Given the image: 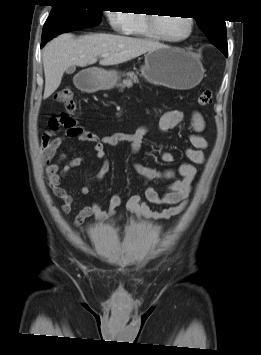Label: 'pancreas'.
<instances>
[{"label": "pancreas", "instance_id": "obj_1", "mask_svg": "<svg viewBox=\"0 0 261 355\" xmlns=\"http://www.w3.org/2000/svg\"><path fill=\"white\" fill-rule=\"evenodd\" d=\"M124 76H126V79H124L123 82L119 84L121 91L125 87H131L133 83H138V77L134 72H128Z\"/></svg>", "mask_w": 261, "mask_h": 355}]
</instances>
